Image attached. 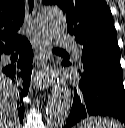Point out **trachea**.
Returning <instances> with one entry per match:
<instances>
[{
  "label": "trachea",
  "instance_id": "obj_1",
  "mask_svg": "<svg viewBox=\"0 0 125 128\" xmlns=\"http://www.w3.org/2000/svg\"><path fill=\"white\" fill-rule=\"evenodd\" d=\"M52 50L53 51H64L63 49H60V48H53Z\"/></svg>",
  "mask_w": 125,
  "mask_h": 128
}]
</instances>
